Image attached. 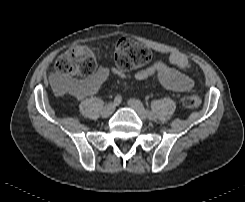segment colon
Returning <instances> with one entry per match:
<instances>
[{
    "mask_svg": "<svg viewBox=\"0 0 245 202\" xmlns=\"http://www.w3.org/2000/svg\"><path fill=\"white\" fill-rule=\"evenodd\" d=\"M114 58L118 67L124 71L145 67L151 58L147 47L130 37L119 38L114 45ZM96 68V58L83 44H77L62 53L55 62V82L64 92L76 90V79L90 76ZM200 97L187 96L183 105L187 109L197 108Z\"/></svg>",
    "mask_w": 245,
    "mask_h": 202,
    "instance_id": "colon-1",
    "label": "colon"
}]
</instances>
